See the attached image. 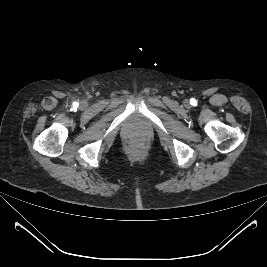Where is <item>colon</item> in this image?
Here are the masks:
<instances>
[{"label":"colon","mask_w":267,"mask_h":267,"mask_svg":"<svg viewBox=\"0 0 267 267\" xmlns=\"http://www.w3.org/2000/svg\"><path fill=\"white\" fill-rule=\"evenodd\" d=\"M130 147H131L132 149H141V148H142V146H141L139 143H132V144L130 145Z\"/></svg>","instance_id":"1"}]
</instances>
